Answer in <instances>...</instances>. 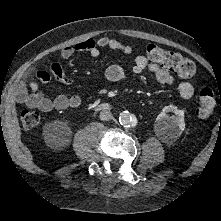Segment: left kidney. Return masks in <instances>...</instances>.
Returning <instances> with one entry per match:
<instances>
[{
    "mask_svg": "<svg viewBox=\"0 0 221 221\" xmlns=\"http://www.w3.org/2000/svg\"><path fill=\"white\" fill-rule=\"evenodd\" d=\"M168 112H173L175 115L168 116ZM155 128L163 138L177 139L185 129L184 111L173 105L165 106L156 118Z\"/></svg>",
    "mask_w": 221,
    "mask_h": 221,
    "instance_id": "1",
    "label": "left kidney"
}]
</instances>
